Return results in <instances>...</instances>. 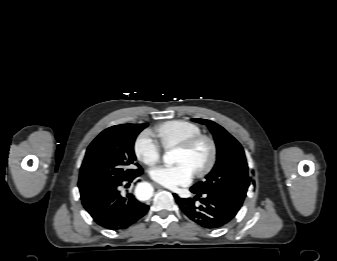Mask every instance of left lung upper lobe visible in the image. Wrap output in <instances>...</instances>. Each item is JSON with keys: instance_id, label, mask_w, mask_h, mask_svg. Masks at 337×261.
Segmentation results:
<instances>
[{"instance_id": "1", "label": "left lung upper lobe", "mask_w": 337, "mask_h": 261, "mask_svg": "<svg viewBox=\"0 0 337 261\" xmlns=\"http://www.w3.org/2000/svg\"><path fill=\"white\" fill-rule=\"evenodd\" d=\"M192 121L205 124L210 129L216 143L217 161L206 176V180L196 183L191 189L200 194L218 196L239 210L250 184L242 146L215 122L205 119H192Z\"/></svg>"}]
</instances>
